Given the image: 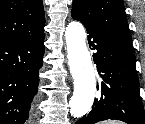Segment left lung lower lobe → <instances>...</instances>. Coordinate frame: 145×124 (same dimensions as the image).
I'll return each instance as SVG.
<instances>
[{"instance_id": "left-lung-lower-lobe-1", "label": "left lung lower lobe", "mask_w": 145, "mask_h": 124, "mask_svg": "<svg viewBox=\"0 0 145 124\" xmlns=\"http://www.w3.org/2000/svg\"><path fill=\"white\" fill-rule=\"evenodd\" d=\"M72 17L80 21L77 17ZM86 30L90 48L97 51L93 53V57L98 72L102 73V82L97 85L100 94L95 99L92 110L76 124H94L106 119L145 124L133 52L89 27Z\"/></svg>"}]
</instances>
